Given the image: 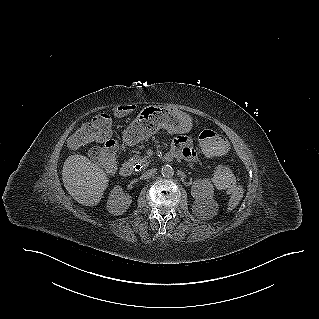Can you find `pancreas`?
I'll return each instance as SVG.
<instances>
[{"mask_svg": "<svg viewBox=\"0 0 319 319\" xmlns=\"http://www.w3.org/2000/svg\"><path fill=\"white\" fill-rule=\"evenodd\" d=\"M132 160L135 162V163H138L142 166V168H146L149 166L150 162H151V159L147 156H144V157H139V156H135L132 158ZM188 166L192 169H194V164L192 163H189Z\"/></svg>", "mask_w": 319, "mask_h": 319, "instance_id": "1", "label": "pancreas"}]
</instances>
